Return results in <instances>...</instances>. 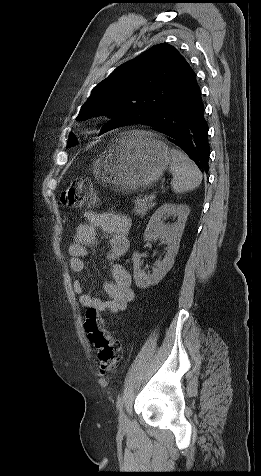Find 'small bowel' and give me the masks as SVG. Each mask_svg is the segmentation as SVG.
<instances>
[{"instance_id": "1", "label": "small bowel", "mask_w": 261, "mask_h": 476, "mask_svg": "<svg viewBox=\"0 0 261 476\" xmlns=\"http://www.w3.org/2000/svg\"><path fill=\"white\" fill-rule=\"evenodd\" d=\"M85 218L87 222L77 226L73 242L69 246L70 267L75 273L82 274L85 270L88 247L97 244L100 236L105 235L108 237L106 259L112 280L104 285L107 300L88 294L81 279L74 281L73 289L79 295L81 305L86 308H93L97 312H122L134 298L131 275L118 263L129 246L130 220L127 216L117 213L93 211L87 212Z\"/></svg>"}]
</instances>
